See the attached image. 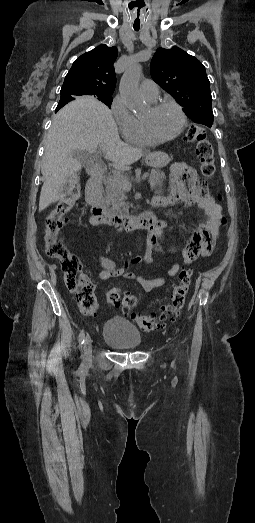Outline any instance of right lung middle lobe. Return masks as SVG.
Wrapping results in <instances>:
<instances>
[{
    "label": "right lung middle lobe",
    "mask_w": 255,
    "mask_h": 523,
    "mask_svg": "<svg viewBox=\"0 0 255 523\" xmlns=\"http://www.w3.org/2000/svg\"><path fill=\"white\" fill-rule=\"evenodd\" d=\"M60 94H61L60 100H68V101L75 100V98L70 93L60 92ZM97 99L102 101L103 103H105L109 108H111V103L113 101L111 96H99Z\"/></svg>",
    "instance_id": "1"
}]
</instances>
